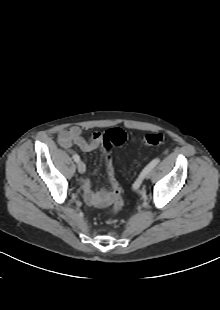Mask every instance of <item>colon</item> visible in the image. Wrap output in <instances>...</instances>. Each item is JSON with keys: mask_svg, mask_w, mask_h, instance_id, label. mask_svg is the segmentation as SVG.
Listing matches in <instances>:
<instances>
[{"mask_svg": "<svg viewBox=\"0 0 220 310\" xmlns=\"http://www.w3.org/2000/svg\"><path fill=\"white\" fill-rule=\"evenodd\" d=\"M126 141V133L120 128L107 130L102 137V146L107 153V172L110 180L112 194L107 199L106 204L110 213L119 212L124 201L122 198L121 187L119 186L114 172V166L110 157V150L113 146H120ZM165 142V137L161 133H148L142 138L145 146L158 147Z\"/></svg>", "mask_w": 220, "mask_h": 310, "instance_id": "obj_1", "label": "colon"}]
</instances>
